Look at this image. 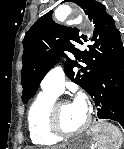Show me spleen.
I'll use <instances>...</instances> for the list:
<instances>
[{"instance_id":"obj_1","label":"spleen","mask_w":124,"mask_h":149,"mask_svg":"<svg viewBox=\"0 0 124 149\" xmlns=\"http://www.w3.org/2000/svg\"><path fill=\"white\" fill-rule=\"evenodd\" d=\"M95 131L99 149H120L122 138L116 139L121 135L117 127L110 123H102Z\"/></svg>"}]
</instances>
